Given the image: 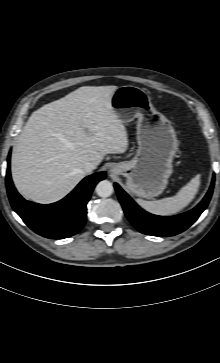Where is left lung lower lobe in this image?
<instances>
[{"label":"left lung lower lobe","mask_w":220,"mask_h":363,"mask_svg":"<svg viewBox=\"0 0 220 363\" xmlns=\"http://www.w3.org/2000/svg\"><path fill=\"white\" fill-rule=\"evenodd\" d=\"M215 177L204 199L191 211L173 217L152 215L141 209L118 184H114L123 210L133 226L143 234L153 236H173L191 226L206 209L211 199Z\"/></svg>","instance_id":"1"}]
</instances>
